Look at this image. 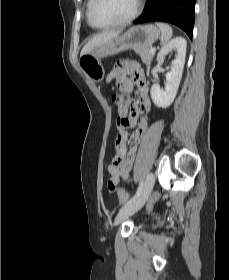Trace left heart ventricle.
Segmentation results:
<instances>
[{"label":"left heart ventricle","mask_w":229,"mask_h":280,"mask_svg":"<svg viewBox=\"0 0 229 280\" xmlns=\"http://www.w3.org/2000/svg\"><path fill=\"white\" fill-rule=\"evenodd\" d=\"M137 0H99L94 10L97 24H108L130 16L135 10Z\"/></svg>","instance_id":"1"}]
</instances>
